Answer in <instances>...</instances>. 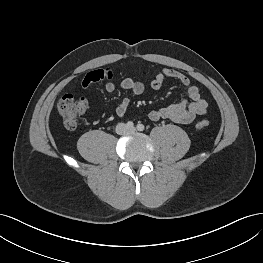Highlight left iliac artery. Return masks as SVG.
Wrapping results in <instances>:
<instances>
[{
    "instance_id": "obj_1",
    "label": "left iliac artery",
    "mask_w": 263,
    "mask_h": 263,
    "mask_svg": "<svg viewBox=\"0 0 263 263\" xmlns=\"http://www.w3.org/2000/svg\"><path fill=\"white\" fill-rule=\"evenodd\" d=\"M137 130L138 131H143L144 130V125L143 124H138L137 125Z\"/></svg>"
}]
</instances>
